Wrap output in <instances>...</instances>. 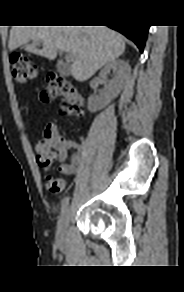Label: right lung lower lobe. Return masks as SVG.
Wrapping results in <instances>:
<instances>
[{
    "mask_svg": "<svg viewBox=\"0 0 184 292\" xmlns=\"http://www.w3.org/2000/svg\"><path fill=\"white\" fill-rule=\"evenodd\" d=\"M112 29H115L125 35L127 38L132 40L139 48L141 52H143L144 45L146 42L149 26L147 25H138V26H131V25H109Z\"/></svg>",
    "mask_w": 184,
    "mask_h": 292,
    "instance_id": "98d812e1",
    "label": "right lung lower lobe"
}]
</instances>
